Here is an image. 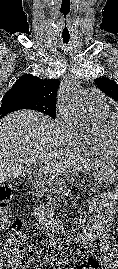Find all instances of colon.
I'll return each instance as SVG.
<instances>
[{
	"mask_svg": "<svg viewBox=\"0 0 118 269\" xmlns=\"http://www.w3.org/2000/svg\"><path fill=\"white\" fill-rule=\"evenodd\" d=\"M11 197V188L0 185V217L7 214ZM31 255V242L22 234L21 221L10 219L7 237L0 253V269H20L30 261Z\"/></svg>",
	"mask_w": 118,
	"mask_h": 269,
	"instance_id": "5ec220e1",
	"label": "colon"
}]
</instances>
